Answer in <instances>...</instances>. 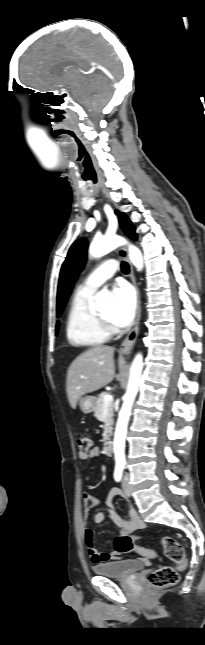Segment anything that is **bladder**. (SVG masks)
<instances>
[{
  "label": "bladder",
  "instance_id": "bladder-1",
  "mask_svg": "<svg viewBox=\"0 0 205 645\" xmlns=\"http://www.w3.org/2000/svg\"><path fill=\"white\" fill-rule=\"evenodd\" d=\"M144 568V563L138 559H123L97 563L93 571L102 576L125 579Z\"/></svg>",
  "mask_w": 205,
  "mask_h": 645
}]
</instances>
